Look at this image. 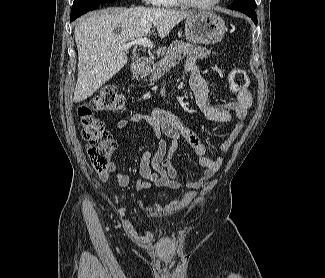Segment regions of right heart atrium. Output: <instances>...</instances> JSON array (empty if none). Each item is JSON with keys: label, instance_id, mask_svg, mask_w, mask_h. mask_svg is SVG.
<instances>
[{"label": "right heart atrium", "instance_id": "1", "mask_svg": "<svg viewBox=\"0 0 325 278\" xmlns=\"http://www.w3.org/2000/svg\"><path fill=\"white\" fill-rule=\"evenodd\" d=\"M142 1L145 3L157 5L160 3L161 0H142Z\"/></svg>", "mask_w": 325, "mask_h": 278}]
</instances>
